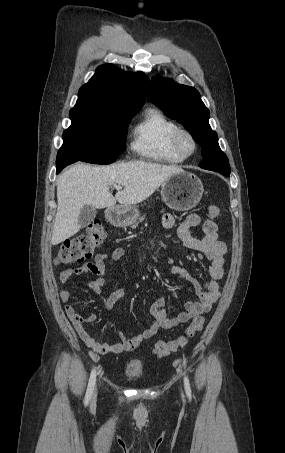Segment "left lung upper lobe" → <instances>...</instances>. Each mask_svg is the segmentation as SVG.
<instances>
[{
    "instance_id": "1",
    "label": "left lung upper lobe",
    "mask_w": 285,
    "mask_h": 453,
    "mask_svg": "<svg viewBox=\"0 0 285 453\" xmlns=\"http://www.w3.org/2000/svg\"><path fill=\"white\" fill-rule=\"evenodd\" d=\"M148 100L166 116L181 123L202 147L201 168L230 175L229 160L219 147L216 132L209 125V110L195 88L157 76L152 80Z\"/></svg>"
}]
</instances>
